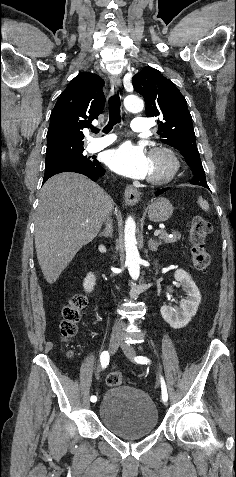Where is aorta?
Returning <instances> with one entry per match:
<instances>
[{"label": "aorta", "instance_id": "aorta-1", "mask_svg": "<svg viewBox=\"0 0 236 477\" xmlns=\"http://www.w3.org/2000/svg\"><path fill=\"white\" fill-rule=\"evenodd\" d=\"M124 107L130 112H139L143 109V101L136 95H128L124 99ZM136 223L133 218L128 217L125 222L124 241L126 250V265L133 280H137L140 275V255L137 249Z\"/></svg>", "mask_w": 236, "mask_h": 477}]
</instances>
